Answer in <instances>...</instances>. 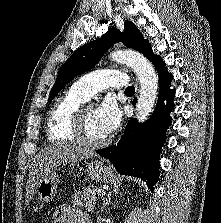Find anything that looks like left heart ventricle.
I'll return each mask as SVG.
<instances>
[{"label": "left heart ventricle", "instance_id": "left-heart-ventricle-1", "mask_svg": "<svg viewBox=\"0 0 221 223\" xmlns=\"http://www.w3.org/2000/svg\"><path fill=\"white\" fill-rule=\"evenodd\" d=\"M85 124H86V136L88 139L97 141L106 138L108 135L101 129L97 117L96 111L92 108L84 109Z\"/></svg>", "mask_w": 221, "mask_h": 223}]
</instances>
